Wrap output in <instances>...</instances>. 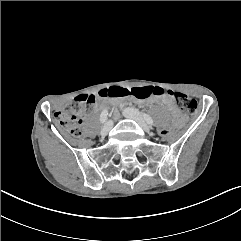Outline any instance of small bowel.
Returning <instances> with one entry per match:
<instances>
[{"label": "small bowel", "instance_id": "obj_1", "mask_svg": "<svg viewBox=\"0 0 241 241\" xmlns=\"http://www.w3.org/2000/svg\"><path fill=\"white\" fill-rule=\"evenodd\" d=\"M151 100L161 101L175 116L178 117L180 115L178 108L176 107V105L174 104V102L171 100L170 97L163 95V96L154 97Z\"/></svg>", "mask_w": 241, "mask_h": 241}]
</instances>
